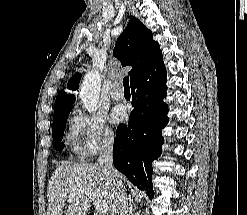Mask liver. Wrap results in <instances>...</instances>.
I'll return each instance as SVG.
<instances>
[{
  "label": "liver",
  "instance_id": "obj_1",
  "mask_svg": "<svg viewBox=\"0 0 247 215\" xmlns=\"http://www.w3.org/2000/svg\"><path fill=\"white\" fill-rule=\"evenodd\" d=\"M120 181H125L122 175ZM123 188L125 190L124 185ZM83 190L92 191L94 200L106 202L112 215L116 188L106 180L103 169L96 163L64 164L56 168L47 189L48 215H63L67 198L69 205L66 215H86L92 199H89ZM74 194L75 198L69 200Z\"/></svg>",
  "mask_w": 247,
  "mask_h": 215
}]
</instances>
